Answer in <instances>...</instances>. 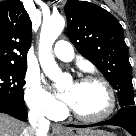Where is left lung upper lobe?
I'll list each match as a JSON object with an SVG mask.
<instances>
[{
    "label": "left lung upper lobe",
    "instance_id": "1",
    "mask_svg": "<svg viewBox=\"0 0 136 136\" xmlns=\"http://www.w3.org/2000/svg\"><path fill=\"white\" fill-rule=\"evenodd\" d=\"M64 12L67 34L117 91L120 107L135 106L131 65L123 28L108 11L93 3L69 0Z\"/></svg>",
    "mask_w": 136,
    "mask_h": 136
}]
</instances>
